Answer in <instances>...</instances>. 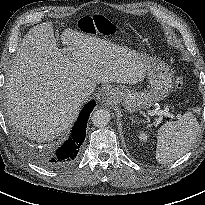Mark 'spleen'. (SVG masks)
Segmentation results:
<instances>
[{"mask_svg": "<svg viewBox=\"0 0 205 205\" xmlns=\"http://www.w3.org/2000/svg\"><path fill=\"white\" fill-rule=\"evenodd\" d=\"M194 112L199 113L200 108ZM199 123L191 112L184 113L177 121L163 124L158 130L156 159L161 164L171 163L185 154L195 143Z\"/></svg>", "mask_w": 205, "mask_h": 205, "instance_id": "spleen-1", "label": "spleen"}]
</instances>
